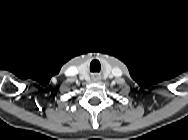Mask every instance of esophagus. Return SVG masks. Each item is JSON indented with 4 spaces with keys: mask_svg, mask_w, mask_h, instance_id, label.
Segmentation results:
<instances>
[{
    "mask_svg": "<svg viewBox=\"0 0 188 140\" xmlns=\"http://www.w3.org/2000/svg\"><path fill=\"white\" fill-rule=\"evenodd\" d=\"M95 78H99V76L97 74L94 75Z\"/></svg>",
    "mask_w": 188,
    "mask_h": 140,
    "instance_id": "obj_1",
    "label": "esophagus"
}]
</instances>
